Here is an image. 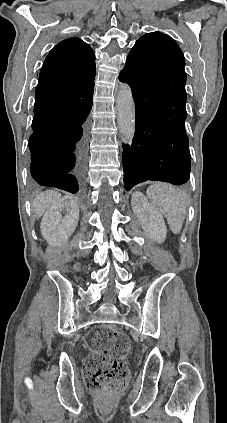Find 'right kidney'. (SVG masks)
Returning <instances> with one entry per match:
<instances>
[{
	"mask_svg": "<svg viewBox=\"0 0 227 423\" xmlns=\"http://www.w3.org/2000/svg\"><path fill=\"white\" fill-rule=\"evenodd\" d=\"M64 211L65 215H62ZM79 221V206L73 196H63L56 204L45 211L41 223V233L49 245H60L75 231Z\"/></svg>",
	"mask_w": 227,
	"mask_h": 423,
	"instance_id": "1",
	"label": "right kidney"
}]
</instances>
